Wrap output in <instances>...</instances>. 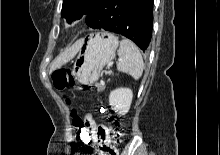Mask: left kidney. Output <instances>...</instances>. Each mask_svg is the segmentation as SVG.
Here are the masks:
<instances>
[{"mask_svg":"<svg viewBox=\"0 0 220 155\" xmlns=\"http://www.w3.org/2000/svg\"><path fill=\"white\" fill-rule=\"evenodd\" d=\"M133 98V92L129 88H118L111 91L109 105L119 115L128 113Z\"/></svg>","mask_w":220,"mask_h":155,"instance_id":"obj_1","label":"left kidney"}]
</instances>
